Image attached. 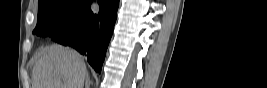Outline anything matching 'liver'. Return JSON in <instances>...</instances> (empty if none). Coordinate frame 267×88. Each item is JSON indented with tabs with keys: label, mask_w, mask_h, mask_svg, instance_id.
I'll return each mask as SVG.
<instances>
[{
	"label": "liver",
	"mask_w": 267,
	"mask_h": 88,
	"mask_svg": "<svg viewBox=\"0 0 267 88\" xmlns=\"http://www.w3.org/2000/svg\"><path fill=\"white\" fill-rule=\"evenodd\" d=\"M87 67L83 57L60 45L46 47L32 70V88H81Z\"/></svg>",
	"instance_id": "1"
}]
</instances>
